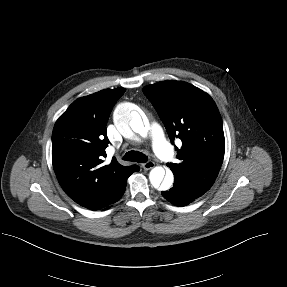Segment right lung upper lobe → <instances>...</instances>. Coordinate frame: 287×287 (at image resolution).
Here are the masks:
<instances>
[{
  "label": "right lung upper lobe",
  "instance_id": "1",
  "mask_svg": "<svg viewBox=\"0 0 287 287\" xmlns=\"http://www.w3.org/2000/svg\"><path fill=\"white\" fill-rule=\"evenodd\" d=\"M124 88L104 89L78 98L56 121L52 133V163L65 193L90 210L112 204L126 186L128 177L139 170L125 167L112 158L103 164L109 139L106 124Z\"/></svg>",
  "mask_w": 287,
  "mask_h": 287
}]
</instances>
